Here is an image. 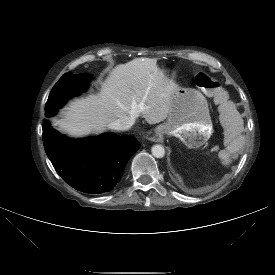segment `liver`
Wrapping results in <instances>:
<instances>
[{"label": "liver", "mask_w": 275, "mask_h": 275, "mask_svg": "<svg viewBox=\"0 0 275 275\" xmlns=\"http://www.w3.org/2000/svg\"><path fill=\"white\" fill-rule=\"evenodd\" d=\"M175 88L155 59L136 58L118 65L99 95L71 102L55 125L73 137H84L109 128L122 116H142L149 124H156L168 117Z\"/></svg>", "instance_id": "6515ba94"}]
</instances>
